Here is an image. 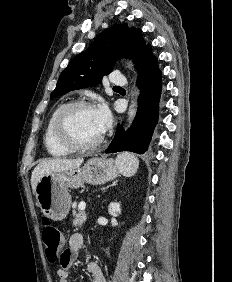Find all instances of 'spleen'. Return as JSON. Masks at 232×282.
I'll use <instances>...</instances> for the list:
<instances>
[{"instance_id":"spleen-1","label":"spleen","mask_w":232,"mask_h":282,"mask_svg":"<svg viewBox=\"0 0 232 282\" xmlns=\"http://www.w3.org/2000/svg\"><path fill=\"white\" fill-rule=\"evenodd\" d=\"M116 165L121 174L129 177L136 173L139 161L134 155L125 152L117 156Z\"/></svg>"}]
</instances>
